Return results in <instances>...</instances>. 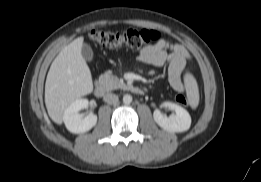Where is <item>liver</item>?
<instances>
[{"mask_svg":"<svg viewBox=\"0 0 261 182\" xmlns=\"http://www.w3.org/2000/svg\"><path fill=\"white\" fill-rule=\"evenodd\" d=\"M84 37L65 46L52 62L45 83V105L50 118L63 121L65 109L93 91L90 69L82 56Z\"/></svg>","mask_w":261,"mask_h":182,"instance_id":"1","label":"liver"}]
</instances>
